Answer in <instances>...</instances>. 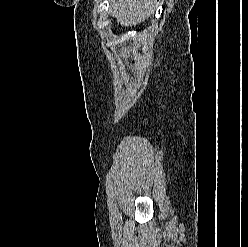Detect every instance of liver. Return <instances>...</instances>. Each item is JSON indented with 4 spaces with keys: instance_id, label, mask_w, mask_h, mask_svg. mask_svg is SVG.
I'll return each mask as SVG.
<instances>
[{
    "instance_id": "liver-1",
    "label": "liver",
    "mask_w": 248,
    "mask_h": 247,
    "mask_svg": "<svg viewBox=\"0 0 248 247\" xmlns=\"http://www.w3.org/2000/svg\"><path fill=\"white\" fill-rule=\"evenodd\" d=\"M152 5V0H112V16L121 26L132 27L144 22L151 16Z\"/></svg>"
}]
</instances>
